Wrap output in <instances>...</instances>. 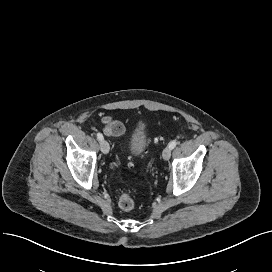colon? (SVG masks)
I'll list each match as a JSON object with an SVG mask.
<instances>
[{
    "label": "colon",
    "instance_id": "obj_1",
    "mask_svg": "<svg viewBox=\"0 0 272 272\" xmlns=\"http://www.w3.org/2000/svg\"><path fill=\"white\" fill-rule=\"evenodd\" d=\"M103 130L107 135H118L122 132L123 127L119 121L107 119L104 121ZM118 206L123 211H131L136 207V200L130 194H123L118 199Z\"/></svg>",
    "mask_w": 272,
    "mask_h": 272
}]
</instances>
